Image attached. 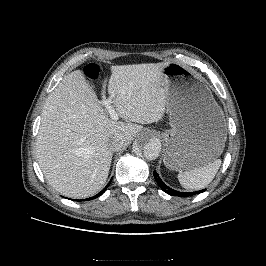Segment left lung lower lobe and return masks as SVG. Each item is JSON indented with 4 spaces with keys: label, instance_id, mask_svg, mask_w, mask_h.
<instances>
[{
    "label": "left lung lower lobe",
    "instance_id": "obj_1",
    "mask_svg": "<svg viewBox=\"0 0 266 266\" xmlns=\"http://www.w3.org/2000/svg\"><path fill=\"white\" fill-rule=\"evenodd\" d=\"M154 177H155L157 184L161 187V189L172 196L189 197V196H193L195 194H199V193L205 191V189H204V190H200L197 192H179V191L171 189L166 184H164V182L161 180V178L159 177V175L156 171H154Z\"/></svg>",
    "mask_w": 266,
    "mask_h": 266
}]
</instances>
